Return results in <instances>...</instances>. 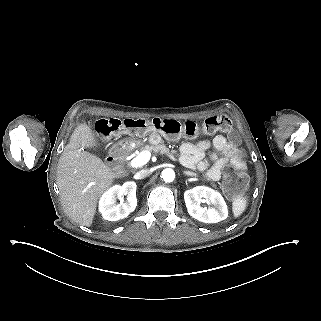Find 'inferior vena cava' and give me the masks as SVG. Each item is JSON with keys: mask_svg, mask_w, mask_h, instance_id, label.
Returning a JSON list of instances; mask_svg holds the SVG:
<instances>
[{"mask_svg": "<svg viewBox=\"0 0 321 321\" xmlns=\"http://www.w3.org/2000/svg\"><path fill=\"white\" fill-rule=\"evenodd\" d=\"M151 175V171L149 169H142L136 173V176H138V179H144Z\"/></svg>", "mask_w": 321, "mask_h": 321, "instance_id": "obj_1", "label": "inferior vena cava"}]
</instances>
